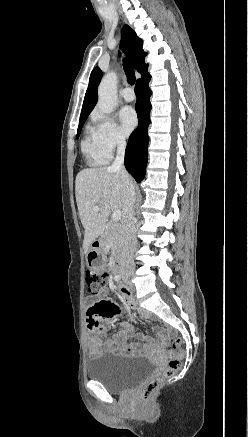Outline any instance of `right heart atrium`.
Wrapping results in <instances>:
<instances>
[{"label":"right heart atrium","mask_w":248,"mask_h":437,"mask_svg":"<svg viewBox=\"0 0 248 437\" xmlns=\"http://www.w3.org/2000/svg\"><path fill=\"white\" fill-rule=\"evenodd\" d=\"M92 119L99 147L108 158H111L117 149L125 145V137L112 117L95 111Z\"/></svg>","instance_id":"d8ad5b80"}]
</instances>
